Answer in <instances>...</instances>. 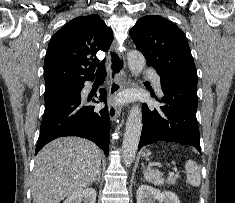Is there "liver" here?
I'll return each instance as SVG.
<instances>
[{
	"label": "liver",
	"mask_w": 235,
	"mask_h": 203,
	"mask_svg": "<svg viewBox=\"0 0 235 203\" xmlns=\"http://www.w3.org/2000/svg\"><path fill=\"white\" fill-rule=\"evenodd\" d=\"M102 152L93 142L61 137L37 154L33 171V203H59L84 190L101 170Z\"/></svg>",
	"instance_id": "6515ba94"
}]
</instances>
